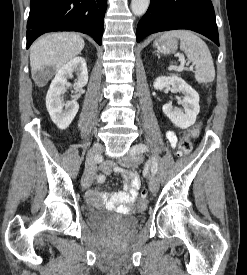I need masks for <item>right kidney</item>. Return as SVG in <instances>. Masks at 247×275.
Masks as SVG:
<instances>
[{
  "instance_id": "obj_1",
  "label": "right kidney",
  "mask_w": 247,
  "mask_h": 275,
  "mask_svg": "<svg viewBox=\"0 0 247 275\" xmlns=\"http://www.w3.org/2000/svg\"><path fill=\"white\" fill-rule=\"evenodd\" d=\"M76 74L77 79L74 89L79 90L88 82V71L86 61L82 57H75L63 65L56 73L46 95V107L52 121L60 129H66L75 118L79 105L75 100L63 103L61 94L70 85L67 79Z\"/></svg>"
}]
</instances>
